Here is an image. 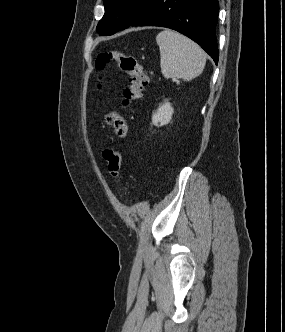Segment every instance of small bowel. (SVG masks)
Returning <instances> with one entry per match:
<instances>
[{
    "mask_svg": "<svg viewBox=\"0 0 285 332\" xmlns=\"http://www.w3.org/2000/svg\"><path fill=\"white\" fill-rule=\"evenodd\" d=\"M107 123L111 125L118 137L124 138L128 132V126L123 117L117 113H111L107 116Z\"/></svg>",
    "mask_w": 285,
    "mask_h": 332,
    "instance_id": "1",
    "label": "small bowel"
}]
</instances>
